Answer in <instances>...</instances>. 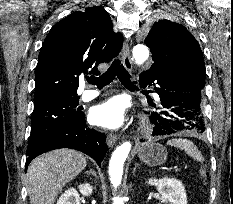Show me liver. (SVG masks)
<instances>
[{
  "mask_svg": "<svg viewBox=\"0 0 233 204\" xmlns=\"http://www.w3.org/2000/svg\"><path fill=\"white\" fill-rule=\"evenodd\" d=\"M87 165L82 153L58 149L35 158L27 171L30 204H54L63 187Z\"/></svg>",
  "mask_w": 233,
  "mask_h": 204,
  "instance_id": "6515ba94",
  "label": "liver"
}]
</instances>
